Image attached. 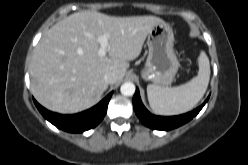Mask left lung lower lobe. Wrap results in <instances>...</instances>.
Segmentation results:
<instances>
[{"label":"left lung lower lobe","mask_w":248,"mask_h":165,"mask_svg":"<svg viewBox=\"0 0 248 165\" xmlns=\"http://www.w3.org/2000/svg\"><path fill=\"white\" fill-rule=\"evenodd\" d=\"M208 98L200 107L196 108L192 112L179 116L162 117V116H155L150 112H148V110L144 107L140 99L139 90L136 89L135 95L133 97V107L136 115L144 125L152 129L167 131L177 128L190 121L193 117H195L199 113V111L203 108V106L206 104Z\"/></svg>","instance_id":"obj_1"}]
</instances>
